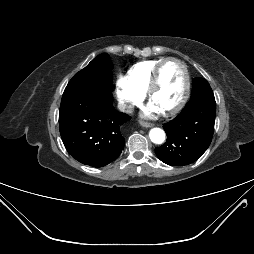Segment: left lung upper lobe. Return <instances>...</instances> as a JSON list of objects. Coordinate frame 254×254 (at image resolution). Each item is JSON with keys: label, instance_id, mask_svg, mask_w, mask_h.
Masks as SVG:
<instances>
[{"label": "left lung upper lobe", "instance_id": "obj_1", "mask_svg": "<svg viewBox=\"0 0 254 254\" xmlns=\"http://www.w3.org/2000/svg\"><path fill=\"white\" fill-rule=\"evenodd\" d=\"M190 102L201 103V102H215L213 91L204 78H194L192 81V92Z\"/></svg>", "mask_w": 254, "mask_h": 254}]
</instances>
